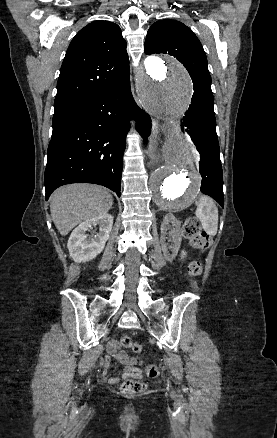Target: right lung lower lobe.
Listing matches in <instances>:
<instances>
[{"label": "right lung lower lobe", "mask_w": 277, "mask_h": 438, "mask_svg": "<svg viewBox=\"0 0 277 438\" xmlns=\"http://www.w3.org/2000/svg\"><path fill=\"white\" fill-rule=\"evenodd\" d=\"M72 66H75L72 70L96 67ZM96 68L111 71L114 66L108 63ZM130 118L137 121V129L146 139L151 131V119L135 103L129 75L55 111L44 176L46 200L57 187L78 182L103 185L120 197Z\"/></svg>", "instance_id": "1"}]
</instances>
